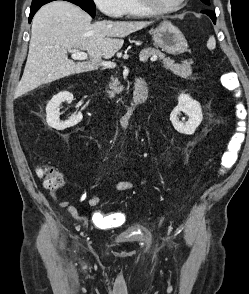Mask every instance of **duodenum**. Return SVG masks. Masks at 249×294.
Returning a JSON list of instances; mask_svg holds the SVG:
<instances>
[{
    "label": "duodenum",
    "mask_w": 249,
    "mask_h": 294,
    "mask_svg": "<svg viewBox=\"0 0 249 294\" xmlns=\"http://www.w3.org/2000/svg\"><path fill=\"white\" fill-rule=\"evenodd\" d=\"M148 96V87L145 80L139 77L135 82V92H134V101L131 108L126 112V114L121 118L120 125L125 128L128 125V122L133 114V112L141 108Z\"/></svg>",
    "instance_id": "obj_1"
}]
</instances>
